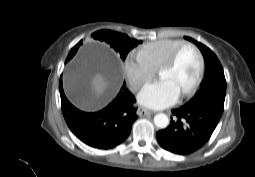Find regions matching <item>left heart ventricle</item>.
I'll return each instance as SVG.
<instances>
[{
    "label": "left heart ventricle",
    "mask_w": 255,
    "mask_h": 177,
    "mask_svg": "<svg viewBox=\"0 0 255 177\" xmlns=\"http://www.w3.org/2000/svg\"><path fill=\"white\" fill-rule=\"evenodd\" d=\"M198 56L192 48H185L174 67L159 72L160 78L169 80L176 89L183 93L194 82L198 72Z\"/></svg>",
    "instance_id": "left-heart-ventricle-1"
}]
</instances>
